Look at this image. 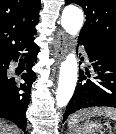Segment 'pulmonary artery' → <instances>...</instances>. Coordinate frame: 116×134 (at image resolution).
<instances>
[{
    "instance_id": "1",
    "label": "pulmonary artery",
    "mask_w": 116,
    "mask_h": 134,
    "mask_svg": "<svg viewBox=\"0 0 116 134\" xmlns=\"http://www.w3.org/2000/svg\"><path fill=\"white\" fill-rule=\"evenodd\" d=\"M84 55H85V57H86V59H88V57H87V55L84 53ZM14 65L12 64V67H13Z\"/></svg>"
}]
</instances>
